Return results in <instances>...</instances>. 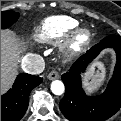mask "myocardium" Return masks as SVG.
<instances>
[{
  "instance_id": "1",
  "label": "myocardium",
  "mask_w": 121,
  "mask_h": 121,
  "mask_svg": "<svg viewBox=\"0 0 121 121\" xmlns=\"http://www.w3.org/2000/svg\"><path fill=\"white\" fill-rule=\"evenodd\" d=\"M93 34L89 29L79 28L72 32L61 45V53L71 58L82 52L92 41Z\"/></svg>"
}]
</instances>
